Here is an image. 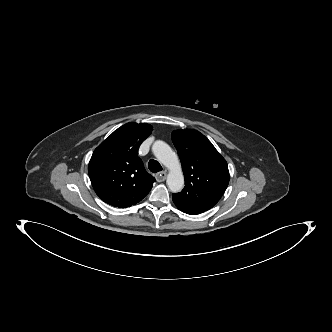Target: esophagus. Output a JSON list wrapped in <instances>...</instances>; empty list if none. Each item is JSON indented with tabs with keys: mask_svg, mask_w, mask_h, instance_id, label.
<instances>
[{
	"mask_svg": "<svg viewBox=\"0 0 332 332\" xmlns=\"http://www.w3.org/2000/svg\"><path fill=\"white\" fill-rule=\"evenodd\" d=\"M166 177H167L166 171H162L156 175V179L158 182H163L166 179Z\"/></svg>",
	"mask_w": 332,
	"mask_h": 332,
	"instance_id": "obj_1",
	"label": "esophagus"
}]
</instances>
